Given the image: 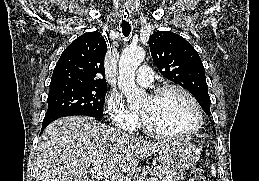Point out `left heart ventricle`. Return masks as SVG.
Masks as SVG:
<instances>
[{
	"label": "left heart ventricle",
	"mask_w": 259,
	"mask_h": 181,
	"mask_svg": "<svg viewBox=\"0 0 259 181\" xmlns=\"http://www.w3.org/2000/svg\"><path fill=\"white\" fill-rule=\"evenodd\" d=\"M139 112L151 127L166 132L188 131L196 123L194 107L184 95L174 90L157 99L148 97Z\"/></svg>",
	"instance_id": "b2bd125f"
}]
</instances>
